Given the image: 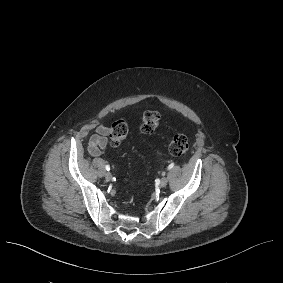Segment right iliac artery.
<instances>
[{
    "label": "right iliac artery",
    "instance_id": "1",
    "mask_svg": "<svg viewBox=\"0 0 283 283\" xmlns=\"http://www.w3.org/2000/svg\"><path fill=\"white\" fill-rule=\"evenodd\" d=\"M105 169H106L107 171H109V170H110V166H109V165H106V166H105Z\"/></svg>",
    "mask_w": 283,
    "mask_h": 283
}]
</instances>
